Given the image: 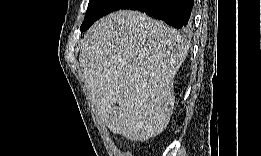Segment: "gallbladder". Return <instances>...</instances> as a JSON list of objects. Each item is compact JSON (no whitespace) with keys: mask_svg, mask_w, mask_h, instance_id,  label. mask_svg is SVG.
<instances>
[{"mask_svg":"<svg viewBox=\"0 0 261 156\" xmlns=\"http://www.w3.org/2000/svg\"><path fill=\"white\" fill-rule=\"evenodd\" d=\"M113 107H121V106H113ZM122 115H124L123 112H117V113L111 114V116H113L112 118L116 120V121H113L114 125H122L123 123H125V122L120 120V119L124 118V117H120ZM114 127H120V126H114Z\"/></svg>","mask_w":261,"mask_h":156,"instance_id":"bac80fb5","label":"gallbladder"}]
</instances>
